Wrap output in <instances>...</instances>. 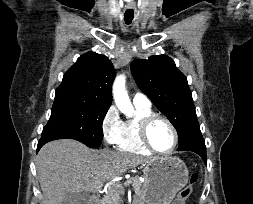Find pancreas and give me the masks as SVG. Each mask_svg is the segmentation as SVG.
I'll return each instance as SVG.
<instances>
[{
  "mask_svg": "<svg viewBox=\"0 0 253 204\" xmlns=\"http://www.w3.org/2000/svg\"><path fill=\"white\" fill-rule=\"evenodd\" d=\"M142 182L138 177H135L134 182L132 183L134 191L136 194L141 193ZM124 193V188L120 183H115L110 185L108 193L102 198L100 204H120L121 195Z\"/></svg>",
  "mask_w": 253,
  "mask_h": 204,
  "instance_id": "cf45deb5",
  "label": "pancreas"
}]
</instances>
